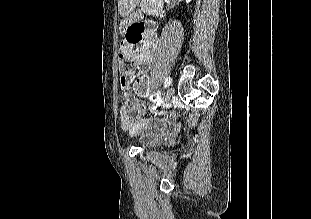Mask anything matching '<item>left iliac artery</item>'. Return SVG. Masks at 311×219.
<instances>
[{
  "instance_id": "1",
  "label": "left iliac artery",
  "mask_w": 311,
  "mask_h": 219,
  "mask_svg": "<svg viewBox=\"0 0 311 219\" xmlns=\"http://www.w3.org/2000/svg\"><path fill=\"white\" fill-rule=\"evenodd\" d=\"M171 83H172L171 77L170 76L166 77L165 82H164L165 88L169 87L171 85Z\"/></svg>"
}]
</instances>
